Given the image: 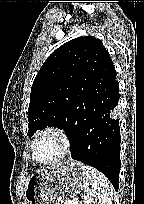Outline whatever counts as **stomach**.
Returning <instances> with one entry per match:
<instances>
[{"label": "stomach", "mask_w": 144, "mask_h": 204, "mask_svg": "<svg viewBox=\"0 0 144 204\" xmlns=\"http://www.w3.org/2000/svg\"><path fill=\"white\" fill-rule=\"evenodd\" d=\"M85 167L79 162L68 161L32 175L24 189L25 204H66L83 190Z\"/></svg>", "instance_id": "obj_1"}]
</instances>
